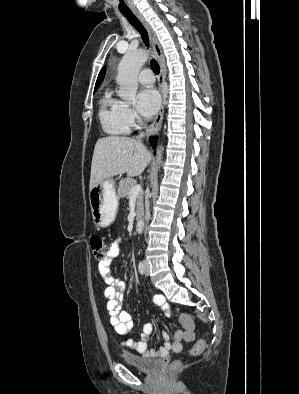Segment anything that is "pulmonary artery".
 Returning <instances> with one entry per match:
<instances>
[{"label":"pulmonary artery","mask_w":299,"mask_h":394,"mask_svg":"<svg viewBox=\"0 0 299 394\" xmlns=\"http://www.w3.org/2000/svg\"><path fill=\"white\" fill-rule=\"evenodd\" d=\"M138 80L143 85L151 86L154 83L155 78L151 70L144 69L140 72Z\"/></svg>","instance_id":"e3ab8cb5"}]
</instances>
